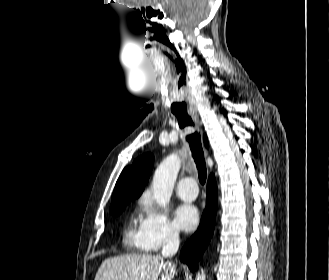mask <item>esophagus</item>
<instances>
[{"label": "esophagus", "mask_w": 329, "mask_h": 280, "mask_svg": "<svg viewBox=\"0 0 329 280\" xmlns=\"http://www.w3.org/2000/svg\"><path fill=\"white\" fill-rule=\"evenodd\" d=\"M191 117L193 118V120L196 122V123H198V114H197V112L196 111H193V112H191Z\"/></svg>", "instance_id": "1"}]
</instances>
